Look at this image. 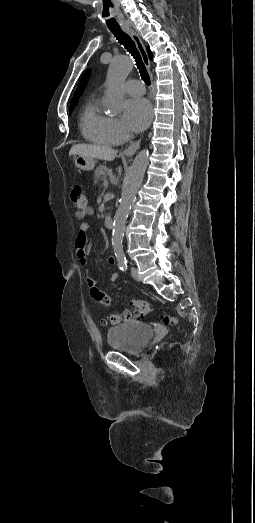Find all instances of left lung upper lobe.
Here are the masks:
<instances>
[{"label": "left lung upper lobe", "mask_w": 255, "mask_h": 523, "mask_svg": "<svg viewBox=\"0 0 255 523\" xmlns=\"http://www.w3.org/2000/svg\"><path fill=\"white\" fill-rule=\"evenodd\" d=\"M90 74H91V70L89 69V70H87V71L83 74V76H82V78H81V80H80V82H79V84H78L77 90H76V92H75V94H74V96H73V98H72V100H71V103H70V109H69V114H70V115H71V113H72V111H73V108L77 105V103H78V99H79L80 96L82 95V93H83V91H84V89H85V86H86L87 83H88V80H89Z\"/></svg>", "instance_id": "left-lung-upper-lobe-1"}]
</instances>
